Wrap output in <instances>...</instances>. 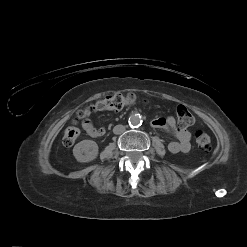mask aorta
I'll return each instance as SVG.
<instances>
[{
    "label": "aorta",
    "mask_w": 247,
    "mask_h": 247,
    "mask_svg": "<svg viewBox=\"0 0 247 247\" xmlns=\"http://www.w3.org/2000/svg\"><path fill=\"white\" fill-rule=\"evenodd\" d=\"M128 123L131 127L139 126L142 123L141 116L138 114H131Z\"/></svg>",
    "instance_id": "1"
}]
</instances>
